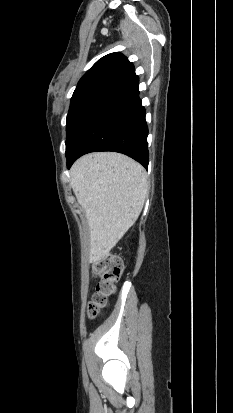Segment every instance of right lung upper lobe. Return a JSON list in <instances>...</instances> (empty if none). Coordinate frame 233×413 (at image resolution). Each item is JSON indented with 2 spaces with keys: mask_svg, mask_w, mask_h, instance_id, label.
I'll return each mask as SVG.
<instances>
[{
  "mask_svg": "<svg viewBox=\"0 0 233 413\" xmlns=\"http://www.w3.org/2000/svg\"><path fill=\"white\" fill-rule=\"evenodd\" d=\"M134 69V66L121 53H111L98 60L80 79L77 88L101 79L117 80ZM76 88V89H77Z\"/></svg>",
  "mask_w": 233,
  "mask_h": 413,
  "instance_id": "right-lung-upper-lobe-1",
  "label": "right lung upper lobe"
}]
</instances>
